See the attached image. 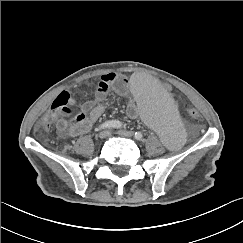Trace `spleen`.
I'll list each match as a JSON object with an SVG mask.
<instances>
[{
	"mask_svg": "<svg viewBox=\"0 0 243 243\" xmlns=\"http://www.w3.org/2000/svg\"><path fill=\"white\" fill-rule=\"evenodd\" d=\"M130 92L162 143L175 145L183 139L185 124L177 114L172 99L153 75H136L130 83Z\"/></svg>",
	"mask_w": 243,
	"mask_h": 243,
	"instance_id": "spleen-1",
	"label": "spleen"
}]
</instances>
